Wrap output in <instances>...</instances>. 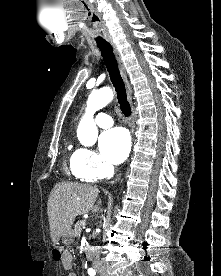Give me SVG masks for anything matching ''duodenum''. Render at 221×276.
<instances>
[{
    "instance_id": "410a0bca",
    "label": "duodenum",
    "mask_w": 221,
    "mask_h": 276,
    "mask_svg": "<svg viewBox=\"0 0 221 276\" xmlns=\"http://www.w3.org/2000/svg\"><path fill=\"white\" fill-rule=\"evenodd\" d=\"M89 253H90V251H89V250H87V255H89Z\"/></svg>"
}]
</instances>
